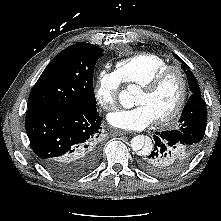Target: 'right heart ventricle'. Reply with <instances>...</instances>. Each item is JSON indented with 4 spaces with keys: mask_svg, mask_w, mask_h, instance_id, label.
Returning <instances> with one entry per match:
<instances>
[{
    "mask_svg": "<svg viewBox=\"0 0 221 221\" xmlns=\"http://www.w3.org/2000/svg\"><path fill=\"white\" fill-rule=\"evenodd\" d=\"M168 65L169 63L159 55L139 53L119 61L115 65L114 73L125 85L141 86Z\"/></svg>",
    "mask_w": 221,
    "mask_h": 221,
    "instance_id": "e07e8e85",
    "label": "right heart ventricle"
}]
</instances>
